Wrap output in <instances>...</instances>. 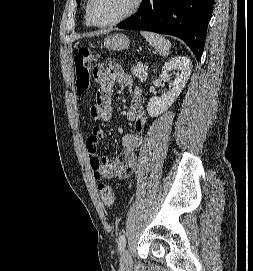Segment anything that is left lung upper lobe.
Segmentation results:
<instances>
[{"instance_id":"obj_1","label":"left lung upper lobe","mask_w":253,"mask_h":271,"mask_svg":"<svg viewBox=\"0 0 253 271\" xmlns=\"http://www.w3.org/2000/svg\"><path fill=\"white\" fill-rule=\"evenodd\" d=\"M77 3L79 4V3H80V0H77Z\"/></svg>"}]
</instances>
